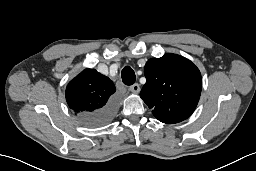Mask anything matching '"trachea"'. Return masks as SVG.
Masks as SVG:
<instances>
[{
  "label": "trachea",
  "instance_id": "3493384b",
  "mask_svg": "<svg viewBox=\"0 0 256 171\" xmlns=\"http://www.w3.org/2000/svg\"><path fill=\"white\" fill-rule=\"evenodd\" d=\"M122 81L125 85H133L136 81V75L131 67L126 66L122 69Z\"/></svg>",
  "mask_w": 256,
  "mask_h": 171
}]
</instances>
